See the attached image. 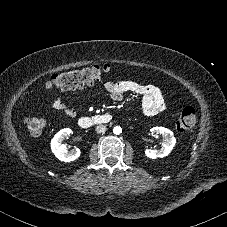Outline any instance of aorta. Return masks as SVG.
Wrapping results in <instances>:
<instances>
[{
    "instance_id": "1",
    "label": "aorta",
    "mask_w": 227,
    "mask_h": 227,
    "mask_svg": "<svg viewBox=\"0 0 227 227\" xmlns=\"http://www.w3.org/2000/svg\"><path fill=\"white\" fill-rule=\"evenodd\" d=\"M113 132L114 134L119 135L122 132V129L119 126H116L114 127Z\"/></svg>"
}]
</instances>
